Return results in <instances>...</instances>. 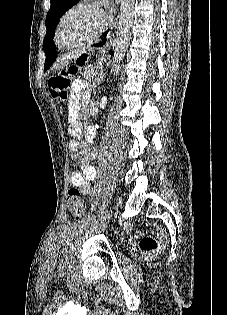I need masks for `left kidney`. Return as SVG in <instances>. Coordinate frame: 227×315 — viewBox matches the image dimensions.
I'll list each match as a JSON object with an SVG mask.
<instances>
[{"mask_svg":"<svg viewBox=\"0 0 227 315\" xmlns=\"http://www.w3.org/2000/svg\"><path fill=\"white\" fill-rule=\"evenodd\" d=\"M107 104V97L104 96L101 98V101H100V107L102 109H105V106ZM96 137V129L95 127H88L85 129V138H86V141L88 143H92L93 142V139Z\"/></svg>","mask_w":227,"mask_h":315,"instance_id":"1","label":"left kidney"}]
</instances>
